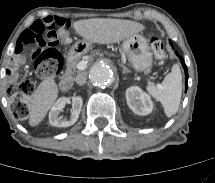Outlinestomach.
<instances>
[{
  "label": "stomach",
  "instance_id": "stomach-1",
  "mask_svg": "<svg viewBox=\"0 0 215 183\" xmlns=\"http://www.w3.org/2000/svg\"><path fill=\"white\" fill-rule=\"evenodd\" d=\"M91 42L82 40L75 43L68 52L69 62L85 54ZM123 51L128 57L131 66L138 72H146L152 67L153 55L147 40L140 34H134L123 42Z\"/></svg>",
  "mask_w": 215,
  "mask_h": 183
}]
</instances>
